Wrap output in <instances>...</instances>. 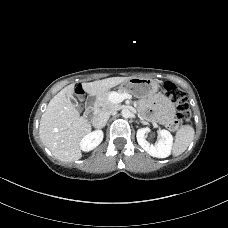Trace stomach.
<instances>
[{"mask_svg":"<svg viewBox=\"0 0 228 228\" xmlns=\"http://www.w3.org/2000/svg\"><path fill=\"white\" fill-rule=\"evenodd\" d=\"M159 87V83L151 78L131 77L121 83L119 90H125L135 97H150L158 92Z\"/></svg>","mask_w":228,"mask_h":228,"instance_id":"obj_1","label":"stomach"}]
</instances>
